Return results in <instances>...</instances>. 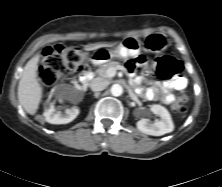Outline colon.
I'll return each mask as SVG.
<instances>
[{
	"label": "colon",
	"instance_id": "colon-1",
	"mask_svg": "<svg viewBox=\"0 0 222 187\" xmlns=\"http://www.w3.org/2000/svg\"><path fill=\"white\" fill-rule=\"evenodd\" d=\"M138 64L146 67L148 61L139 58ZM84 65L82 52L74 47L55 45L48 47L42 57L38 75L45 86H53L63 76L80 70ZM182 63L170 56H163L156 61L155 72L161 79H170L181 72ZM188 96L183 94L174 103V109L184 113L187 109Z\"/></svg>",
	"mask_w": 222,
	"mask_h": 187
}]
</instances>
